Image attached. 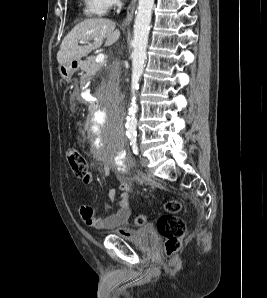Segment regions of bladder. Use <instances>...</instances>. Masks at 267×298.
<instances>
[{"label":"bladder","mask_w":267,"mask_h":298,"mask_svg":"<svg viewBox=\"0 0 267 298\" xmlns=\"http://www.w3.org/2000/svg\"><path fill=\"white\" fill-rule=\"evenodd\" d=\"M120 238L143 250H148L154 247L157 243V235L152 226H144L133 230L129 236L116 234Z\"/></svg>","instance_id":"1"}]
</instances>
